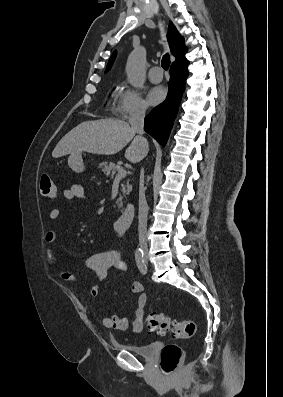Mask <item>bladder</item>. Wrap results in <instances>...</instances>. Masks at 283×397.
Listing matches in <instances>:
<instances>
[{
    "label": "bladder",
    "mask_w": 283,
    "mask_h": 397,
    "mask_svg": "<svg viewBox=\"0 0 283 397\" xmlns=\"http://www.w3.org/2000/svg\"><path fill=\"white\" fill-rule=\"evenodd\" d=\"M158 347V342H151L145 345H120V348L145 359L153 358L158 350Z\"/></svg>",
    "instance_id": "31cf9c89"
}]
</instances>
